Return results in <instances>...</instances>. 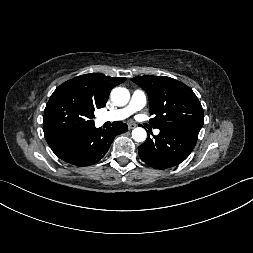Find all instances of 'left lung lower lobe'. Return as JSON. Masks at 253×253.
I'll return each instance as SVG.
<instances>
[{
  "mask_svg": "<svg viewBox=\"0 0 253 253\" xmlns=\"http://www.w3.org/2000/svg\"><path fill=\"white\" fill-rule=\"evenodd\" d=\"M160 133L138 147L139 156L146 164L167 169L184 161L193 150L198 133L159 129Z\"/></svg>",
  "mask_w": 253,
  "mask_h": 253,
  "instance_id": "left-lung-lower-lobe-1",
  "label": "left lung lower lobe"
}]
</instances>
